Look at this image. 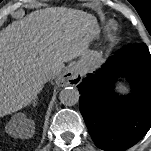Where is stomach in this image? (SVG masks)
Segmentation results:
<instances>
[{
	"label": "stomach",
	"mask_w": 151,
	"mask_h": 151,
	"mask_svg": "<svg viewBox=\"0 0 151 151\" xmlns=\"http://www.w3.org/2000/svg\"><path fill=\"white\" fill-rule=\"evenodd\" d=\"M102 61V55L98 51H89L85 58H81L78 66L84 70L95 68Z\"/></svg>",
	"instance_id": "1"
}]
</instances>
